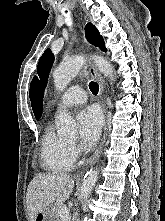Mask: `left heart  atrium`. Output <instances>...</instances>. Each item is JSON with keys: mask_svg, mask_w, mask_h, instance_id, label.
<instances>
[{"mask_svg": "<svg viewBox=\"0 0 165 221\" xmlns=\"http://www.w3.org/2000/svg\"><path fill=\"white\" fill-rule=\"evenodd\" d=\"M77 120L81 142L84 146H91L101 133L103 120L100 111L94 106H88L78 113Z\"/></svg>", "mask_w": 165, "mask_h": 221, "instance_id": "obj_1", "label": "left heart atrium"}]
</instances>
